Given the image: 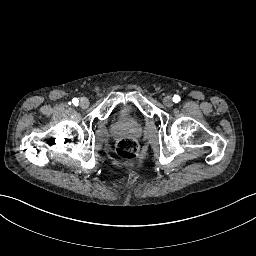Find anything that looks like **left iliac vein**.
Listing matches in <instances>:
<instances>
[{
  "label": "left iliac vein",
  "mask_w": 256,
  "mask_h": 256,
  "mask_svg": "<svg viewBox=\"0 0 256 256\" xmlns=\"http://www.w3.org/2000/svg\"><path fill=\"white\" fill-rule=\"evenodd\" d=\"M163 103H164V105H165L166 107H171V106L173 105V99H172V97L169 96V95L166 96V97H164Z\"/></svg>",
  "instance_id": "4c4485c4"
}]
</instances>
